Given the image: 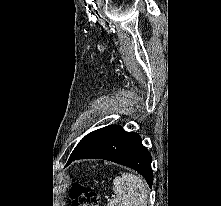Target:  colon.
Here are the masks:
<instances>
[{"instance_id":"5ec220e1","label":"colon","mask_w":221,"mask_h":206,"mask_svg":"<svg viewBox=\"0 0 221 206\" xmlns=\"http://www.w3.org/2000/svg\"><path fill=\"white\" fill-rule=\"evenodd\" d=\"M70 196L73 206H100L99 195L90 187L75 184L71 188Z\"/></svg>"}]
</instances>
